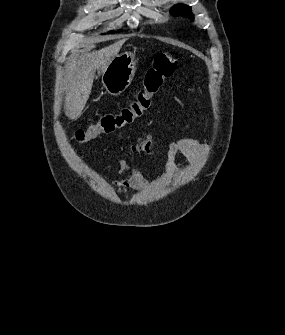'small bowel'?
Returning <instances> with one entry per match:
<instances>
[{
	"mask_svg": "<svg viewBox=\"0 0 285 335\" xmlns=\"http://www.w3.org/2000/svg\"><path fill=\"white\" fill-rule=\"evenodd\" d=\"M188 128V126L182 127L175 130L174 133L183 132ZM128 138V135H122V139ZM137 151L157 154L159 152L157 140L151 133L144 132L121 151L117 159L119 170L123 174V179L117 182V188L121 192L128 190L139 191L144 187V179L140 167H131L126 161V157ZM202 151L203 147L191 138H181L176 142L169 143L164 151L163 166L165 173L170 174L173 171L175 159L178 155L191 162H197Z\"/></svg>",
	"mask_w": 285,
	"mask_h": 335,
	"instance_id": "small-bowel-1",
	"label": "small bowel"
}]
</instances>
